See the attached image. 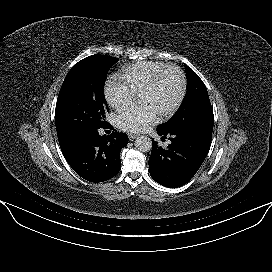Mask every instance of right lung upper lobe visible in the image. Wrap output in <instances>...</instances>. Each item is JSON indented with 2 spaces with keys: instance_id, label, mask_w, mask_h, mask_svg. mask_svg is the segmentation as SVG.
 <instances>
[{
  "instance_id": "cb5924a9",
  "label": "right lung upper lobe",
  "mask_w": 272,
  "mask_h": 272,
  "mask_svg": "<svg viewBox=\"0 0 272 272\" xmlns=\"http://www.w3.org/2000/svg\"><path fill=\"white\" fill-rule=\"evenodd\" d=\"M60 148L62 153H66L78 140V138L74 137H58Z\"/></svg>"
}]
</instances>
